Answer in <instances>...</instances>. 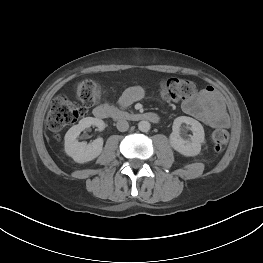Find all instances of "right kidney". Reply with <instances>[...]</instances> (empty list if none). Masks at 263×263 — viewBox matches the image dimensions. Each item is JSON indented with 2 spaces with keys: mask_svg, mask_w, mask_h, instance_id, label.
<instances>
[{
  "mask_svg": "<svg viewBox=\"0 0 263 263\" xmlns=\"http://www.w3.org/2000/svg\"><path fill=\"white\" fill-rule=\"evenodd\" d=\"M90 126H96L99 130H103L105 128V123L98 118L86 117L81 119L77 125L72 126L65 135V152L77 163L91 161L102 152V138H97L90 144L78 142L77 140L79 134Z\"/></svg>",
  "mask_w": 263,
  "mask_h": 263,
  "instance_id": "right-kidney-1",
  "label": "right kidney"
}]
</instances>
